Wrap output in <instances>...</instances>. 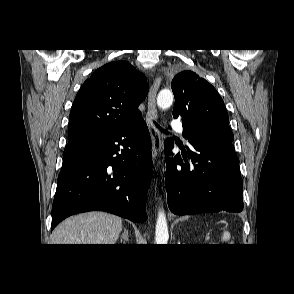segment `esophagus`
<instances>
[{
	"instance_id": "esophagus-1",
	"label": "esophagus",
	"mask_w": 294,
	"mask_h": 294,
	"mask_svg": "<svg viewBox=\"0 0 294 294\" xmlns=\"http://www.w3.org/2000/svg\"><path fill=\"white\" fill-rule=\"evenodd\" d=\"M161 83V76L157 75L153 81V84L150 87L148 94V105H147V114H146V122L148 125V129L151 136L152 141V156L153 160H155L160 154L162 150V140L161 135L154 124V121L157 120V109H156V96Z\"/></svg>"
}]
</instances>
